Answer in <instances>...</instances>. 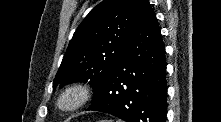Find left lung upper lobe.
I'll use <instances>...</instances> for the list:
<instances>
[{
  "mask_svg": "<svg viewBox=\"0 0 221 122\" xmlns=\"http://www.w3.org/2000/svg\"><path fill=\"white\" fill-rule=\"evenodd\" d=\"M141 0H104L76 29L53 82V89L87 82L94 101L103 91L137 18Z\"/></svg>",
  "mask_w": 221,
  "mask_h": 122,
  "instance_id": "5c2ea615",
  "label": "left lung upper lobe"
}]
</instances>
